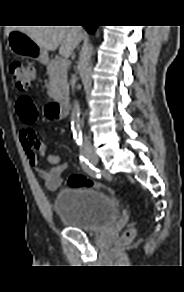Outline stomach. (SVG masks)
<instances>
[{"label":"stomach","instance_id":"1","mask_svg":"<svg viewBox=\"0 0 184 292\" xmlns=\"http://www.w3.org/2000/svg\"><path fill=\"white\" fill-rule=\"evenodd\" d=\"M7 45L9 50L15 55L30 57L42 64L48 61V53L21 31H11L7 36Z\"/></svg>","mask_w":184,"mask_h":292}]
</instances>
